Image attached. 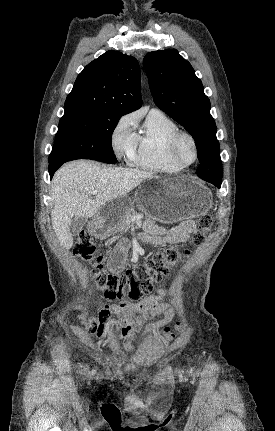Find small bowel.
<instances>
[{"instance_id":"1","label":"small bowel","mask_w":275,"mask_h":431,"mask_svg":"<svg viewBox=\"0 0 275 431\" xmlns=\"http://www.w3.org/2000/svg\"><path fill=\"white\" fill-rule=\"evenodd\" d=\"M195 229V222L190 219L184 220L179 225L172 228H164L158 226L153 221H147L144 224L145 233L142 238L144 241L155 246L182 244L188 240ZM126 250L127 243L125 241L117 244L110 254L108 262L112 270L121 268ZM165 295L166 291L160 289L157 295L149 296L139 302H121L102 310L101 317L105 324L101 325L98 331V337H105L104 327L109 324L111 315L117 314L118 320L114 324L115 334L122 340L124 349L127 352H133L135 350L134 338L136 333H141L137 340L139 342L146 333L172 319V304L162 303V299ZM158 314H164V317L156 322L147 323L148 320Z\"/></svg>"}]
</instances>
